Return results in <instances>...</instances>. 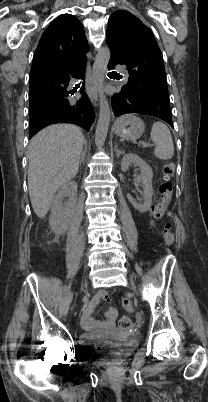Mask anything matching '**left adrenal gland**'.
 Here are the masks:
<instances>
[{
  "instance_id": "obj_1",
  "label": "left adrenal gland",
  "mask_w": 208,
  "mask_h": 402,
  "mask_svg": "<svg viewBox=\"0 0 208 402\" xmlns=\"http://www.w3.org/2000/svg\"><path fill=\"white\" fill-rule=\"evenodd\" d=\"M114 152H116L117 158H119L120 154H123V152H120V150H117V146H115Z\"/></svg>"
}]
</instances>
